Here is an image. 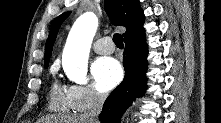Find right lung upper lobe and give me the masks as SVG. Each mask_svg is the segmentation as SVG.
I'll use <instances>...</instances> for the list:
<instances>
[{
    "label": "right lung upper lobe",
    "instance_id": "cb5924a9",
    "mask_svg": "<svg viewBox=\"0 0 221 123\" xmlns=\"http://www.w3.org/2000/svg\"><path fill=\"white\" fill-rule=\"evenodd\" d=\"M105 10L114 25L126 27L124 40L145 34L144 14L139 0H105ZM70 13H63L54 20L45 45V63H49L58 30Z\"/></svg>",
    "mask_w": 221,
    "mask_h": 123
}]
</instances>
